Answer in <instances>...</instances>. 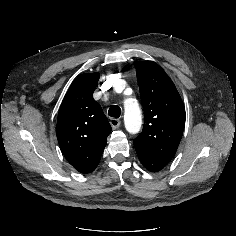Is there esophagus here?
Instances as JSON below:
<instances>
[{
  "mask_svg": "<svg viewBox=\"0 0 236 236\" xmlns=\"http://www.w3.org/2000/svg\"><path fill=\"white\" fill-rule=\"evenodd\" d=\"M110 124H111L113 129H116V128H118L120 126L121 121L119 119H117V118H111L110 119Z\"/></svg>",
  "mask_w": 236,
  "mask_h": 236,
  "instance_id": "esophagus-1",
  "label": "esophagus"
}]
</instances>
